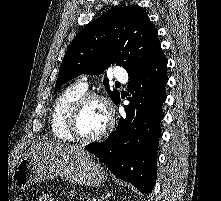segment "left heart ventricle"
I'll use <instances>...</instances> for the list:
<instances>
[{
  "instance_id": "1",
  "label": "left heart ventricle",
  "mask_w": 221,
  "mask_h": 201,
  "mask_svg": "<svg viewBox=\"0 0 221 201\" xmlns=\"http://www.w3.org/2000/svg\"><path fill=\"white\" fill-rule=\"evenodd\" d=\"M107 124V114L103 103L97 100L88 102L78 119L77 129L81 136L92 137L99 134Z\"/></svg>"
}]
</instances>
